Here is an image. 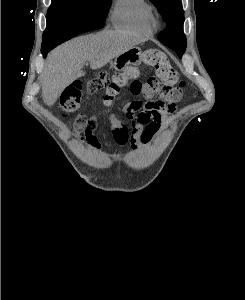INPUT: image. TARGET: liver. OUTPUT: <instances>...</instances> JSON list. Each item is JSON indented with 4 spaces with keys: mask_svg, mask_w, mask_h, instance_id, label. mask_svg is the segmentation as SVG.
<instances>
[{
    "mask_svg": "<svg viewBox=\"0 0 245 300\" xmlns=\"http://www.w3.org/2000/svg\"><path fill=\"white\" fill-rule=\"evenodd\" d=\"M140 42L133 34L104 30L55 48L49 53L41 75L44 102L53 105L66 87L84 76L82 68L87 61L91 69H99Z\"/></svg>",
    "mask_w": 245,
    "mask_h": 300,
    "instance_id": "obj_1",
    "label": "liver"
}]
</instances>
